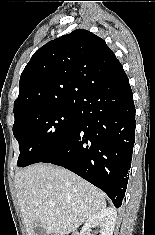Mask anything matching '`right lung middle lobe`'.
I'll list each match as a JSON object with an SVG mask.
<instances>
[{
	"label": "right lung middle lobe",
	"mask_w": 155,
	"mask_h": 235,
	"mask_svg": "<svg viewBox=\"0 0 155 235\" xmlns=\"http://www.w3.org/2000/svg\"><path fill=\"white\" fill-rule=\"evenodd\" d=\"M77 105H56L23 112L13 134L20 147L17 165L38 163L64 144L78 127Z\"/></svg>",
	"instance_id": "right-lung-middle-lobe-1"
}]
</instances>
